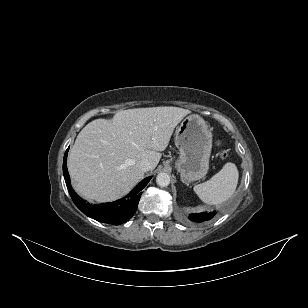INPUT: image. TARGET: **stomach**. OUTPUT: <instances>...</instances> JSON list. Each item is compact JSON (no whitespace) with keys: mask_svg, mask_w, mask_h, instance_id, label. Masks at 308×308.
I'll return each instance as SVG.
<instances>
[{"mask_svg":"<svg viewBox=\"0 0 308 308\" xmlns=\"http://www.w3.org/2000/svg\"><path fill=\"white\" fill-rule=\"evenodd\" d=\"M175 145L180 152L175 167L185 184L203 178L209 169L212 133L206 121L197 114L187 116L177 127Z\"/></svg>","mask_w":308,"mask_h":308,"instance_id":"0dacf381","label":"stomach"}]
</instances>
